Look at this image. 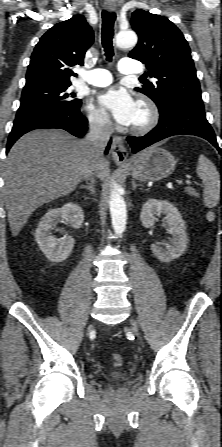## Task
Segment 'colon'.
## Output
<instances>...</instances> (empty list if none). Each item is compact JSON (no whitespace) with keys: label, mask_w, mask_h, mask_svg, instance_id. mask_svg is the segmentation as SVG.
<instances>
[{"label":"colon","mask_w":222,"mask_h":447,"mask_svg":"<svg viewBox=\"0 0 222 447\" xmlns=\"http://www.w3.org/2000/svg\"><path fill=\"white\" fill-rule=\"evenodd\" d=\"M111 360L114 367H120L122 365V357L119 354H113Z\"/></svg>","instance_id":"colon-1"}]
</instances>
